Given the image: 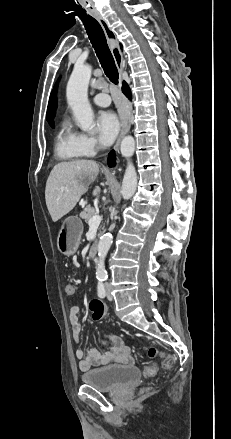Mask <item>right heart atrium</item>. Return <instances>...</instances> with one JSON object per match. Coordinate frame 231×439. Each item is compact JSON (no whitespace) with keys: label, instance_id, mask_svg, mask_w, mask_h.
<instances>
[{"label":"right heart atrium","instance_id":"d8ad5b80","mask_svg":"<svg viewBox=\"0 0 231 439\" xmlns=\"http://www.w3.org/2000/svg\"><path fill=\"white\" fill-rule=\"evenodd\" d=\"M78 143L81 152L85 156L94 155L100 147L96 138L85 134H78Z\"/></svg>","mask_w":231,"mask_h":439}]
</instances>
